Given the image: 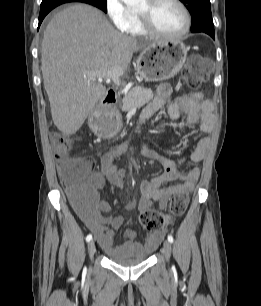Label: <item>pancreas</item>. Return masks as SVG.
<instances>
[{
	"instance_id": "obj_1",
	"label": "pancreas",
	"mask_w": 261,
	"mask_h": 306,
	"mask_svg": "<svg viewBox=\"0 0 261 306\" xmlns=\"http://www.w3.org/2000/svg\"><path fill=\"white\" fill-rule=\"evenodd\" d=\"M153 99V92L149 88L133 87L122 100V111L131 112L145 105Z\"/></svg>"
}]
</instances>
